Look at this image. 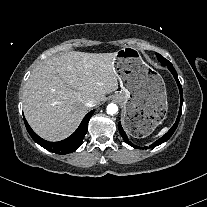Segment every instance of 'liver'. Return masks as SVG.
<instances>
[{
    "label": "liver",
    "instance_id": "1",
    "mask_svg": "<svg viewBox=\"0 0 207 207\" xmlns=\"http://www.w3.org/2000/svg\"><path fill=\"white\" fill-rule=\"evenodd\" d=\"M115 54L73 51L39 64L23 92V111L31 128L49 141L71 135L87 113L89 99L99 104L118 89Z\"/></svg>",
    "mask_w": 207,
    "mask_h": 207
}]
</instances>
